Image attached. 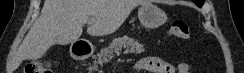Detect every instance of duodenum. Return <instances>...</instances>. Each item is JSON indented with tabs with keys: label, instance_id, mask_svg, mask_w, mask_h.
I'll list each match as a JSON object with an SVG mask.
<instances>
[{
	"label": "duodenum",
	"instance_id": "obj_1",
	"mask_svg": "<svg viewBox=\"0 0 244 73\" xmlns=\"http://www.w3.org/2000/svg\"><path fill=\"white\" fill-rule=\"evenodd\" d=\"M72 57L77 60H85L92 54V49L85 43H75L71 49Z\"/></svg>",
	"mask_w": 244,
	"mask_h": 73
}]
</instances>
